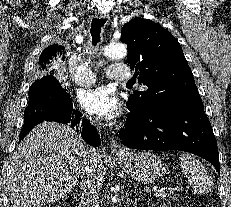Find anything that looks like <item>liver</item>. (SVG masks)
<instances>
[{
    "label": "liver",
    "instance_id": "obj_1",
    "mask_svg": "<svg viewBox=\"0 0 231 207\" xmlns=\"http://www.w3.org/2000/svg\"><path fill=\"white\" fill-rule=\"evenodd\" d=\"M86 151L69 125L42 122L33 128L12 158L11 207H41L69 194L86 166ZM95 181L99 188L105 181L103 164L95 168Z\"/></svg>",
    "mask_w": 231,
    "mask_h": 207
}]
</instances>
